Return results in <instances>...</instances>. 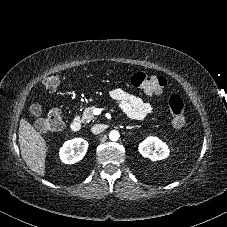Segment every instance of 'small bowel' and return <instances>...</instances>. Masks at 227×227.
<instances>
[{
    "instance_id": "1",
    "label": "small bowel",
    "mask_w": 227,
    "mask_h": 227,
    "mask_svg": "<svg viewBox=\"0 0 227 227\" xmlns=\"http://www.w3.org/2000/svg\"><path fill=\"white\" fill-rule=\"evenodd\" d=\"M110 96L119 104L124 113L134 120H143L154 110L152 103L144 101L140 97L131 95L119 88L111 90Z\"/></svg>"
}]
</instances>
